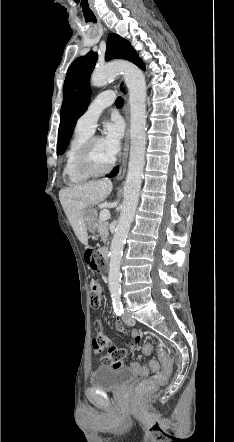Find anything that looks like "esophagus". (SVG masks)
<instances>
[{
  "mask_svg": "<svg viewBox=\"0 0 234 442\" xmlns=\"http://www.w3.org/2000/svg\"><path fill=\"white\" fill-rule=\"evenodd\" d=\"M124 115L126 119V131H125L123 152L119 164V169L116 170V177H115L116 180H122L124 178L127 168L128 156H129L130 132H129V103L127 97L125 98Z\"/></svg>",
  "mask_w": 234,
  "mask_h": 442,
  "instance_id": "1",
  "label": "esophagus"
}]
</instances>
